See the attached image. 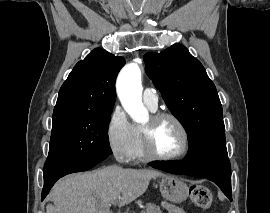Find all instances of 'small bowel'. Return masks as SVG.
<instances>
[{
	"instance_id": "c3829d8e",
	"label": "small bowel",
	"mask_w": 270,
	"mask_h": 213,
	"mask_svg": "<svg viewBox=\"0 0 270 213\" xmlns=\"http://www.w3.org/2000/svg\"><path fill=\"white\" fill-rule=\"evenodd\" d=\"M165 210L167 211V213H189L184 209L173 205H165Z\"/></svg>"
}]
</instances>
